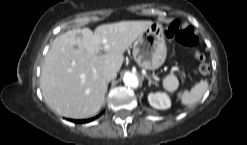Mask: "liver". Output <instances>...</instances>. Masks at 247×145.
I'll return each mask as SVG.
<instances>
[{
  "label": "liver",
  "instance_id": "6515ba94",
  "mask_svg": "<svg viewBox=\"0 0 247 145\" xmlns=\"http://www.w3.org/2000/svg\"><path fill=\"white\" fill-rule=\"evenodd\" d=\"M152 24L121 21L100 25L94 32L72 29L56 37L41 69L40 88L46 104L69 118L96 115L107 92L102 71L118 72L125 50ZM100 50L105 53L99 55Z\"/></svg>",
  "mask_w": 247,
  "mask_h": 145
}]
</instances>
